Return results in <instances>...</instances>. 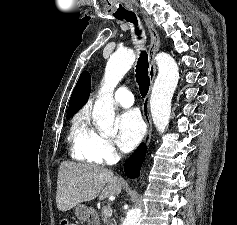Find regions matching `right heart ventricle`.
Returning <instances> with one entry per match:
<instances>
[{
  "label": "right heart ventricle",
  "mask_w": 237,
  "mask_h": 225,
  "mask_svg": "<svg viewBox=\"0 0 237 225\" xmlns=\"http://www.w3.org/2000/svg\"><path fill=\"white\" fill-rule=\"evenodd\" d=\"M93 130L90 128L85 114H79L73 121L70 131L71 154L76 160L99 163L90 149Z\"/></svg>",
  "instance_id": "right-heart-ventricle-1"
}]
</instances>
